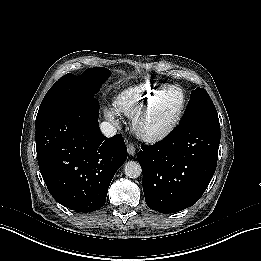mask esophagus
Listing matches in <instances>:
<instances>
[{
  "label": "esophagus",
  "instance_id": "1",
  "mask_svg": "<svg viewBox=\"0 0 261 261\" xmlns=\"http://www.w3.org/2000/svg\"><path fill=\"white\" fill-rule=\"evenodd\" d=\"M127 150H128V153L130 155H134L135 154V148H134V145L132 143H129L127 145Z\"/></svg>",
  "mask_w": 261,
  "mask_h": 261
}]
</instances>
